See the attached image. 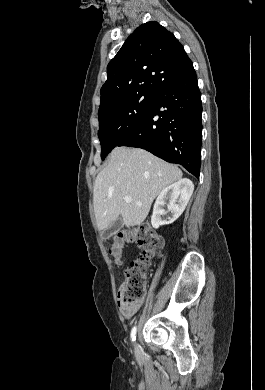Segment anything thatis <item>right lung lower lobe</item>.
Instances as JSON below:
<instances>
[{
  "label": "right lung lower lobe",
  "instance_id": "1",
  "mask_svg": "<svg viewBox=\"0 0 265 390\" xmlns=\"http://www.w3.org/2000/svg\"><path fill=\"white\" fill-rule=\"evenodd\" d=\"M201 115V94L191 63L158 89L148 112L117 146L145 149L199 178Z\"/></svg>",
  "mask_w": 265,
  "mask_h": 390
}]
</instances>
